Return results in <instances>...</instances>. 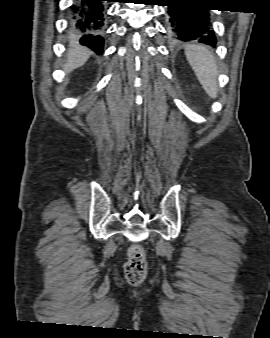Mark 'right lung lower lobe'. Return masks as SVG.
I'll return each mask as SVG.
<instances>
[{"instance_id":"right-lung-lower-lobe-1","label":"right lung lower lobe","mask_w":270,"mask_h":338,"mask_svg":"<svg viewBox=\"0 0 270 338\" xmlns=\"http://www.w3.org/2000/svg\"><path fill=\"white\" fill-rule=\"evenodd\" d=\"M112 0H74L71 6L70 32L79 42L101 54L105 3Z\"/></svg>"}]
</instances>
